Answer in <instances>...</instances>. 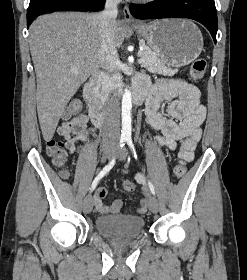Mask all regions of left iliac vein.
<instances>
[{
  "instance_id": "4c4485c4",
  "label": "left iliac vein",
  "mask_w": 247,
  "mask_h": 280,
  "mask_svg": "<svg viewBox=\"0 0 247 280\" xmlns=\"http://www.w3.org/2000/svg\"><path fill=\"white\" fill-rule=\"evenodd\" d=\"M127 156V151L126 149H122L119 151L118 153V158L120 160H124ZM149 209L153 212V213H157L158 210H159V204H158V201L155 197H151L150 200H149Z\"/></svg>"
}]
</instances>
